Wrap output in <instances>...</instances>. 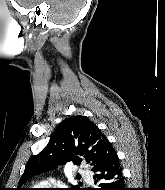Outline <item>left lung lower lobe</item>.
I'll use <instances>...</instances> for the list:
<instances>
[{"instance_id": "1", "label": "left lung lower lobe", "mask_w": 165, "mask_h": 190, "mask_svg": "<svg viewBox=\"0 0 165 190\" xmlns=\"http://www.w3.org/2000/svg\"><path fill=\"white\" fill-rule=\"evenodd\" d=\"M95 183H99L98 190H125L124 178L116 153L112 154L101 165L93 170Z\"/></svg>"}]
</instances>
